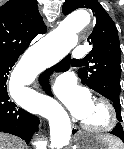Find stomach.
Masks as SVG:
<instances>
[{
	"label": "stomach",
	"mask_w": 124,
	"mask_h": 149,
	"mask_svg": "<svg viewBox=\"0 0 124 149\" xmlns=\"http://www.w3.org/2000/svg\"><path fill=\"white\" fill-rule=\"evenodd\" d=\"M112 142L113 139L109 136H93L84 132L76 134V144L79 149H110Z\"/></svg>",
	"instance_id": "obj_1"
}]
</instances>
